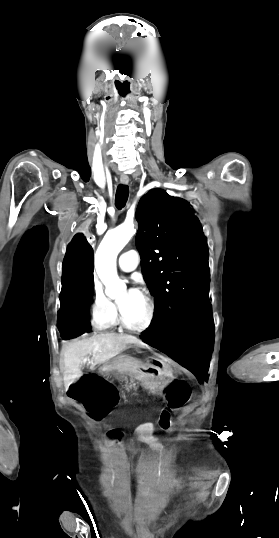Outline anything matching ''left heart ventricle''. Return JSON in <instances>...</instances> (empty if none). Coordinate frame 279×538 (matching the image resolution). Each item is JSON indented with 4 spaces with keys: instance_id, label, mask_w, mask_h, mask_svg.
<instances>
[{
    "instance_id": "obj_1",
    "label": "left heart ventricle",
    "mask_w": 279,
    "mask_h": 538,
    "mask_svg": "<svg viewBox=\"0 0 279 538\" xmlns=\"http://www.w3.org/2000/svg\"><path fill=\"white\" fill-rule=\"evenodd\" d=\"M117 300L121 303L124 315L130 325L138 327L144 323L147 317V305L139 294L124 289L118 295Z\"/></svg>"
}]
</instances>
